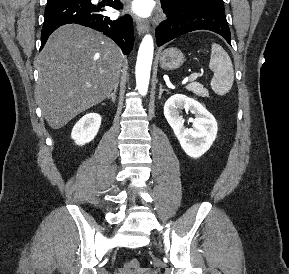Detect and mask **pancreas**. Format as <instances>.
Masks as SVG:
<instances>
[{
  "instance_id": "1",
  "label": "pancreas",
  "mask_w": 289,
  "mask_h": 274,
  "mask_svg": "<svg viewBox=\"0 0 289 274\" xmlns=\"http://www.w3.org/2000/svg\"><path fill=\"white\" fill-rule=\"evenodd\" d=\"M186 89L200 97H208V91L200 83L193 82L186 86Z\"/></svg>"
}]
</instances>
